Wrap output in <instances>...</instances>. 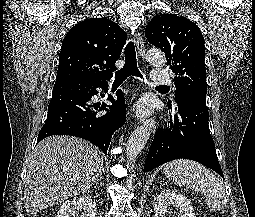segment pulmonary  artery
<instances>
[{
	"label": "pulmonary artery",
	"instance_id": "obj_1",
	"mask_svg": "<svg viewBox=\"0 0 255 217\" xmlns=\"http://www.w3.org/2000/svg\"><path fill=\"white\" fill-rule=\"evenodd\" d=\"M152 80L159 85H171L172 80L167 73H162L159 69H155L152 73Z\"/></svg>",
	"mask_w": 255,
	"mask_h": 217
}]
</instances>
